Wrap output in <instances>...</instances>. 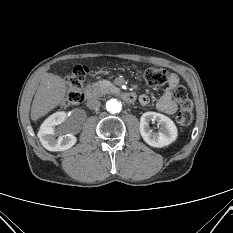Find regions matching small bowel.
<instances>
[{
    "label": "small bowel",
    "instance_id": "small-bowel-1",
    "mask_svg": "<svg viewBox=\"0 0 233 233\" xmlns=\"http://www.w3.org/2000/svg\"><path fill=\"white\" fill-rule=\"evenodd\" d=\"M179 84V77L176 74H171L169 76L168 86L164 94L157 101V109L166 114H173L177 110V103L172 97L171 89ZM140 102L143 105L149 103V98L146 95L140 97Z\"/></svg>",
    "mask_w": 233,
    "mask_h": 233
}]
</instances>
